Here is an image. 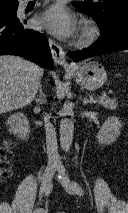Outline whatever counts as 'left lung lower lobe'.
Listing matches in <instances>:
<instances>
[{
    "instance_id": "left-lung-lower-lobe-1",
    "label": "left lung lower lobe",
    "mask_w": 128,
    "mask_h": 213,
    "mask_svg": "<svg viewBox=\"0 0 128 213\" xmlns=\"http://www.w3.org/2000/svg\"><path fill=\"white\" fill-rule=\"evenodd\" d=\"M100 30L101 36L92 46L67 55L74 61H79L99 54L128 49V15H123Z\"/></svg>"
}]
</instances>
